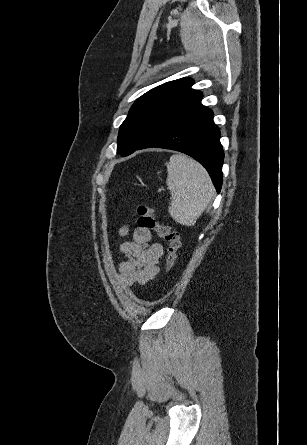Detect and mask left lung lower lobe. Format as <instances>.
<instances>
[{"mask_svg":"<svg viewBox=\"0 0 307 445\" xmlns=\"http://www.w3.org/2000/svg\"><path fill=\"white\" fill-rule=\"evenodd\" d=\"M219 139L212 111L200 103L147 138L136 150L165 148L193 157L207 169L219 193L224 160Z\"/></svg>","mask_w":307,"mask_h":445,"instance_id":"0a47b994","label":"left lung lower lobe"}]
</instances>
